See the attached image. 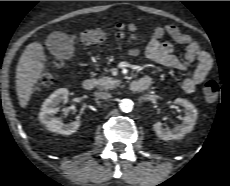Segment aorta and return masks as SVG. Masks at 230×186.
<instances>
[{
    "label": "aorta",
    "mask_w": 230,
    "mask_h": 186,
    "mask_svg": "<svg viewBox=\"0 0 230 186\" xmlns=\"http://www.w3.org/2000/svg\"><path fill=\"white\" fill-rule=\"evenodd\" d=\"M119 107L121 111L125 113L131 112L133 109V102L130 99H123L120 101Z\"/></svg>",
    "instance_id": "obj_1"
}]
</instances>
